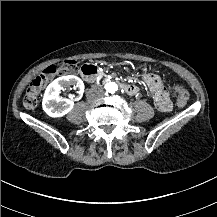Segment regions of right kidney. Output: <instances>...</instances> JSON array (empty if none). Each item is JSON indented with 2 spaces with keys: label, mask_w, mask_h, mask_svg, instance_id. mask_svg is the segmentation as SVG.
I'll return each instance as SVG.
<instances>
[{
  "label": "right kidney",
  "mask_w": 217,
  "mask_h": 217,
  "mask_svg": "<svg viewBox=\"0 0 217 217\" xmlns=\"http://www.w3.org/2000/svg\"><path fill=\"white\" fill-rule=\"evenodd\" d=\"M73 85L79 89V98L84 92L83 81L74 75L62 76L55 79L45 90L43 97V110L51 117H62L67 114L74 106V101L60 97V91L66 87Z\"/></svg>",
  "instance_id": "obj_1"
}]
</instances>
